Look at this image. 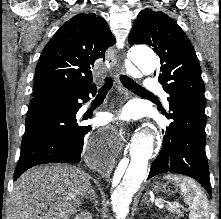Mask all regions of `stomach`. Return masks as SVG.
Instances as JSON below:
<instances>
[{"label":"stomach","instance_id":"stomach-1","mask_svg":"<svg viewBox=\"0 0 221 219\" xmlns=\"http://www.w3.org/2000/svg\"><path fill=\"white\" fill-rule=\"evenodd\" d=\"M155 188L160 189V188H161L160 184L157 183L156 186H155Z\"/></svg>","mask_w":221,"mask_h":219}]
</instances>
